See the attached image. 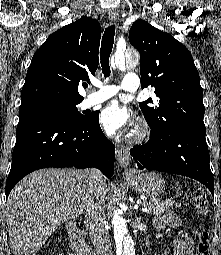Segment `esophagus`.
Returning a JSON list of instances; mask_svg holds the SVG:
<instances>
[{"mask_svg": "<svg viewBox=\"0 0 221 255\" xmlns=\"http://www.w3.org/2000/svg\"><path fill=\"white\" fill-rule=\"evenodd\" d=\"M109 20L112 24H119V16L118 13L114 10L109 11ZM116 159L118 163L127 170V165L129 164V151L125 146L117 145L116 147Z\"/></svg>", "mask_w": 221, "mask_h": 255, "instance_id": "esophagus-1", "label": "esophagus"}]
</instances>
